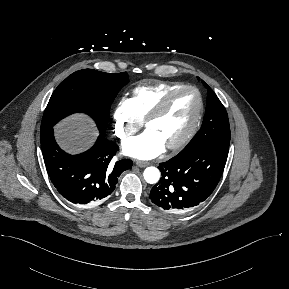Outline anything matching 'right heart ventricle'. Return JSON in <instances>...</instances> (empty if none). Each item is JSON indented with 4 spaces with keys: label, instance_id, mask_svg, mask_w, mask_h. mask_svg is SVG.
I'll list each match as a JSON object with an SVG mask.
<instances>
[{
    "label": "right heart ventricle",
    "instance_id": "1",
    "mask_svg": "<svg viewBox=\"0 0 289 289\" xmlns=\"http://www.w3.org/2000/svg\"><path fill=\"white\" fill-rule=\"evenodd\" d=\"M181 86L177 82H160L136 87L130 98L136 118L144 121L169 92Z\"/></svg>",
    "mask_w": 289,
    "mask_h": 289
}]
</instances>
